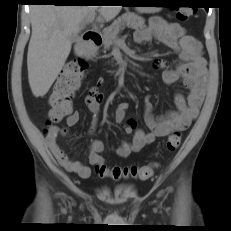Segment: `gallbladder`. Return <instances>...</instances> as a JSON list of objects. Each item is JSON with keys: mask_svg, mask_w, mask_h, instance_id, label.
Listing matches in <instances>:
<instances>
[{"mask_svg": "<svg viewBox=\"0 0 231 231\" xmlns=\"http://www.w3.org/2000/svg\"><path fill=\"white\" fill-rule=\"evenodd\" d=\"M77 38V36L75 35L73 38H72V41L75 40Z\"/></svg>", "mask_w": 231, "mask_h": 231, "instance_id": "1", "label": "gallbladder"}]
</instances>
